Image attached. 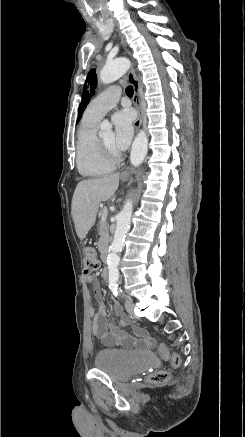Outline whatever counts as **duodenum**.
Masks as SVG:
<instances>
[{"label": "duodenum", "instance_id": "1", "mask_svg": "<svg viewBox=\"0 0 245 437\" xmlns=\"http://www.w3.org/2000/svg\"><path fill=\"white\" fill-rule=\"evenodd\" d=\"M101 258H102V260H103L104 262H107V260H108V251H107V249H106L105 247H103V248L101 249ZM102 276H103L105 279H107V277H108V271H107V269H104V270H103V272H102Z\"/></svg>", "mask_w": 245, "mask_h": 437}]
</instances>
